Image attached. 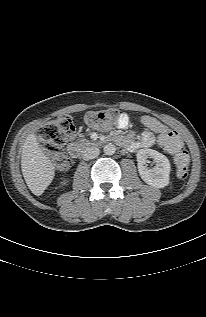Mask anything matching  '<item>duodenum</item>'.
Here are the masks:
<instances>
[{
  "label": "duodenum",
  "instance_id": "1",
  "mask_svg": "<svg viewBox=\"0 0 206 317\" xmlns=\"http://www.w3.org/2000/svg\"><path fill=\"white\" fill-rule=\"evenodd\" d=\"M68 152L72 157L78 158L81 156L82 147L76 143H71L68 147Z\"/></svg>",
  "mask_w": 206,
  "mask_h": 317
}]
</instances>
